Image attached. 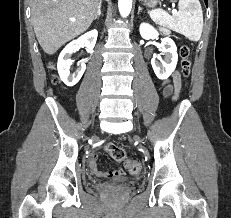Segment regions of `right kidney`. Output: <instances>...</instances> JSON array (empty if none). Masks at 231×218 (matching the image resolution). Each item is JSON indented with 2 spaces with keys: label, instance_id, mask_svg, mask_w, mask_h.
Instances as JSON below:
<instances>
[{
  "label": "right kidney",
  "instance_id": "1",
  "mask_svg": "<svg viewBox=\"0 0 231 218\" xmlns=\"http://www.w3.org/2000/svg\"><path fill=\"white\" fill-rule=\"evenodd\" d=\"M97 36V30L85 33L77 40L70 42L60 53L57 63L58 73L61 80L67 86H74L77 84L86 69L85 63L81 62L77 70L74 73H70L71 55L78 51L81 45H84L90 52L96 44Z\"/></svg>",
  "mask_w": 231,
  "mask_h": 218
}]
</instances>
